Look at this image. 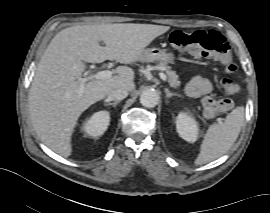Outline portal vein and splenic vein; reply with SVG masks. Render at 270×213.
<instances>
[{
  "instance_id": "portal-vein-and-splenic-vein-1",
  "label": "portal vein and splenic vein",
  "mask_w": 270,
  "mask_h": 213,
  "mask_svg": "<svg viewBox=\"0 0 270 213\" xmlns=\"http://www.w3.org/2000/svg\"><path fill=\"white\" fill-rule=\"evenodd\" d=\"M112 76V72L110 70H104V71H100L97 72L93 75H90L87 78H79V82H80V89H79V94L83 93V87L85 82H87L88 80H103V79H108ZM160 78L163 81H167V76L164 73H159Z\"/></svg>"
}]
</instances>
